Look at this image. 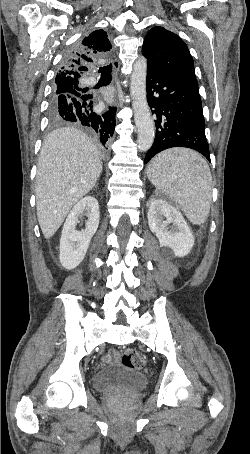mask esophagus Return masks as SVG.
Masks as SVG:
<instances>
[{
    "label": "esophagus",
    "mask_w": 250,
    "mask_h": 454,
    "mask_svg": "<svg viewBox=\"0 0 250 454\" xmlns=\"http://www.w3.org/2000/svg\"><path fill=\"white\" fill-rule=\"evenodd\" d=\"M116 69L118 70V65H116Z\"/></svg>",
    "instance_id": "1"
}]
</instances>
